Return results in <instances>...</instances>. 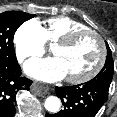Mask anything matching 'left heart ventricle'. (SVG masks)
Listing matches in <instances>:
<instances>
[{"label":"left heart ventricle","mask_w":117,"mask_h":117,"mask_svg":"<svg viewBox=\"0 0 117 117\" xmlns=\"http://www.w3.org/2000/svg\"><path fill=\"white\" fill-rule=\"evenodd\" d=\"M52 52L61 60L66 76L77 77L87 73L96 65L100 48L96 38L86 34L70 46H55Z\"/></svg>","instance_id":"b2bd125f"}]
</instances>
